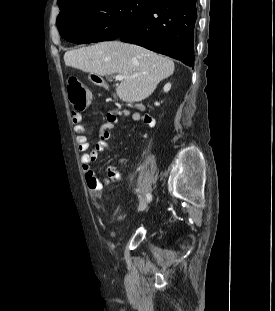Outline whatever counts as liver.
Instances as JSON below:
<instances>
[{
    "instance_id": "1",
    "label": "liver",
    "mask_w": 275,
    "mask_h": 311,
    "mask_svg": "<svg viewBox=\"0 0 275 311\" xmlns=\"http://www.w3.org/2000/svg\"><path fill=\"white\" fill-rule=\"evenodd\" d=\"M64 61L66 66L99 76L124 75L116 92L122 101L130 103L149 97L158 83L174 72L171 59L119 41L67 51Z\"/></svg>"
}]
</instances>
